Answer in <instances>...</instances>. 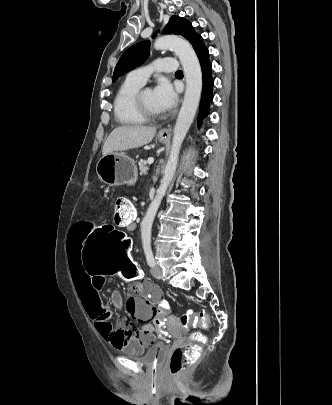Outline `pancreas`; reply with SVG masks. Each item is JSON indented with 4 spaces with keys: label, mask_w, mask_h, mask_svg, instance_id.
<instances>
[{
    "label": "pancreas",
    "mask_w": 332,
    "mask_h": 405,
    "mask_svg": "<svg viewBox=\"0 0 332 405\" xmlns=\"http://www.w3.org/2000/svg\"><path fill=\"white\" fill-rule=\"evenodd\" d=\"M139 165V170H140V176L146 175L148 172V167L146 166V162L145 161H139L138 162Z\"/></svg>",
    "instance_id": "cf45deb5"
}]
</instances>
